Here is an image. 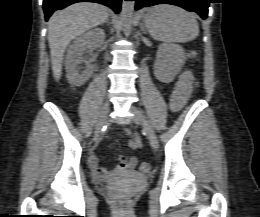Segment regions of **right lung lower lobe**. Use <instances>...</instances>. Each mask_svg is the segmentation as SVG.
Returning a JSON list of instances; mask_svg holds the SVG:
<instances>
[{
  "instance_id": "1",
  "label": "right lung lower lobe",
  "mask_w": 260,
  "mask_h": 217,
  "mask_svg": "<svg viewBox=\"0 0 260 217\" xmlns=\"http://www.w3.org/2000/svg\"><path fill=\"white\" fill-rule=\"evenodd\" d=\"M77 2H95L100 3L103 5H106L113 9L115 13L120 12V6L122 0H43V8L45 12V19L48 20V18L51 16V14L55 10H60L68 5H71L73 3Z\"/></svg>"
}]
</instances>
